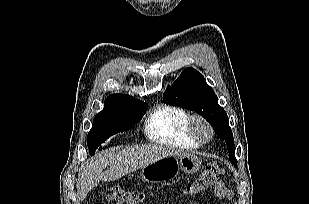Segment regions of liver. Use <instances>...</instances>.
Instances as JSON below:
<instances>
[{
    "mask_svg": "<svg viewBox=\"0 0 309 204\" xmlns=\"http://www.w3.org/2000/svg\"><path fill=\"white\" fill-rule=\"evenodd\" d=\"M181 154L179 150L161 145H137L103 151L85 163L76 183L78 196L84 199L100 181H114L164 157ZM106 166L109 169L103 172Z\"/></svg>",
    "mask_w": 309,
    "mask_h": 204,
    "instance_id": "liver-1",
    "label": "liver"
}]
</instances>
